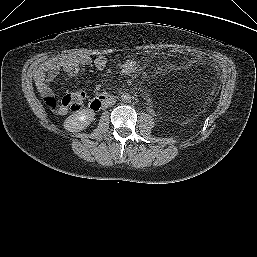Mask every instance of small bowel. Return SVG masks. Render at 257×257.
<instances>
[{
    "label": "small bowel",
    "instance_id": "obj_1",
    "mask_svg": "<svg viewBox=\"0 0 257 257\" xmlns=\"http://www.w3.org/2000/svg\"><path fill=\"white\" fill-rule=\"evenodd\" d=\"M88 65H94L97 69L104 70L108 65V60L101 55L93 58L88 54L79 53L67 56H56L42 63L37 68L34 75L38 91L45 100L49 97H53L52 90L49 86L51 81H53L62 71L69 76H75L81 67ZM54 111L59 115H63L67 112V109L60 107Z\"/></svg>",
    "mask_w": 257,
    "mask_h": 257
}]
</instances>
